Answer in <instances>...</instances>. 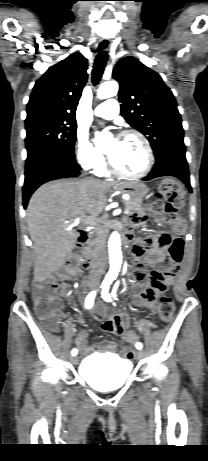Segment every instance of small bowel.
<instances>
[{
  "label": "small bowel",
  "instance_id": "obj_1",
  "mask_svg": "<svg viewBox=\"0 0 208 461\" xmlns=\"http://www.w3.org/2000/svg\"><path fill=\"white\" fill-rule=\"evenodd\" d=\"M147 209H133L132 214H128L127 227L142 226L147 220ZM172 225H160L159 230H154L149 237H141L136 241L132 255L135 259L133 267L134 283L131 286L133 292L134 303L143 308H147L151 314L155 312V303L159 294L165 292L174 282L175 276L180 270V266L185 261V256H188V248H186V235L180 234L183 225L180 222L172 221ZM160 250V251H146ZM68 263H61L62 271H68L69 278L79 277L80 256H68ZM144 264L156 266V269L150 273H146ZM61 293L66 298L70 293L68 283H62L60 286ZM75 300L78 298L75 297ZM72 297L68 299L64 306L70 308L76 304ZM94 319L102 320L104 323L102 328L104 331L120 336L125 340L138 341V336L135 332L128 330L129 321L126 315H107L101 309H95L92 314ZM82 322V318H78ZM88 333L81 329L75 338V344L84 355H90L94 351H108L117 353V345L112 341L98 342L93 346L87 345Z\"/></svg>",
  "mask_w": 208,
  "mask_h": 461
}]
</instances>
